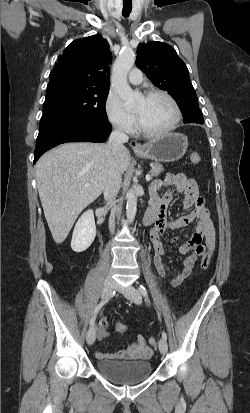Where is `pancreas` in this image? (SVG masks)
Segmentation results:
<instances>
[{"instance_id":"obj_1","label":"pancreas","mask_w":250,"mask_h":413,"mask_svg":"<svg viewBox=\"0 0 250 413\" xmlns=\"http://www.w3.org/2000/svg\"><path fill=\"white\" fill-rule=\"evenodd\" d=\"M164 170L163 165L159 164V163H155L152 166V169L150 171L151 176L153 177H157L160 175V173Z\"/></svg>"}]
</instances>
